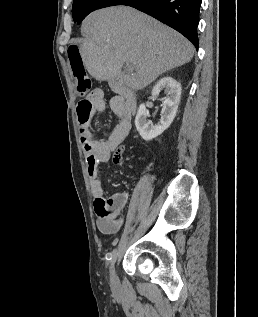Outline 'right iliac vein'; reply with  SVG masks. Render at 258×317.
Here are the masks:
<instances>
[{"instance_id": "1", "label": "right iliac vein", "mask_w": 258, "mask_h": 317, "mask_svg": "<svg viewBox=\"0 0 258 317\" xmlns=\"http://www.w3.org/2000/svg\"><path fill=\"white\" fill-rule=\"evenodd\" d=\"M117 270V267L115 264H110V276H115V271Z\"/></svg>"}]
</instances>
